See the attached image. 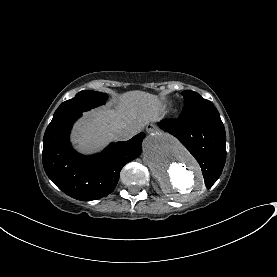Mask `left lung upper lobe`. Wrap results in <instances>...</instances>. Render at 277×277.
I'll return each mask as SVG.
<instances>
[{
  "mask_svg": "<svg viewBox=\"0 0 277 277\" xmlns=\"http://www.w3.org/2000/svg\"><path fill=\"white\" fill-rule=\"evenodd\" d=\"M185 101V107L179 119L183 120H194L201 118H220L219 112L214 105L202 98L198 93L186 90L182 93Z\"/></svg>",
  "mask_w": 277,
  "mask_h": 277,
  "instance_id": "obj_1",
  "label": "left lung upper lobe"
}]
</instances>
